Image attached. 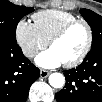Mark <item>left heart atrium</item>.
<instances>
[{"instance_id":"left-heart-atrium-1","label":"left heart atrium","mask_w":102,"mask_h":102,"mask_svg":"<svg viewBox=\"0 0 102 102\" xmlns=\"http://www.w3.org/2000/svg\"><path fill=\"white\" fill-rule=\"evenodd\" d=\"M35 62L38 66L46 69L56 68L63 64L62 60L52 49L38 54L35 58Z\"/></svg>"}]
</instances>
